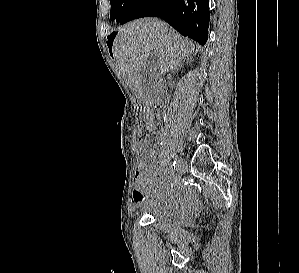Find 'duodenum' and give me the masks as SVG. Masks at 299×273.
<instances>
[{
	"label": "duodenum",
	"instance_id": "410a0bca",
	"mask_svg": "<svg viewBox=\"0 0 299 273\" xmlns=\"http://www.w3.org/2000/svg\"><path fill=\"white\" fill-rule=\"evenodd\" d=\"M165 99H164V96L163 95H161V96H159L156 100H155V107H156V109L159 111V112H161V113H163L164 112V110H165Z\"/></svg>",
	"mask_w": 299,
	"mask_h": 273
}]
</instances>
